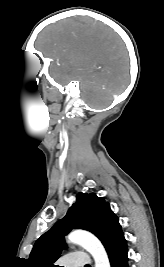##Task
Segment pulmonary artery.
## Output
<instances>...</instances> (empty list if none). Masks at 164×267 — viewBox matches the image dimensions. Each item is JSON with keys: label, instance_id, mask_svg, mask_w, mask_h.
I'll return each instance as SVG.
<instances>
[{"label": "pulmonary artery", "instance_id": "e3ab8cb5", "mask_svg": "<svg viewBox=\"0 0 164 267\" xmlns=\"http://www.w3.org/2000/svg\"><path fill=\"white\" fill-rule=\"evenodd\" d=\"M89 256L85 253L72 252L65 258V267H84L89 264Z\"/></svg>", "mask_w": 164, "mask_h": 267}]
</instances>
